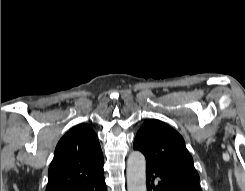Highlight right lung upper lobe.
Segmentation results:
<instances>
[{
  "mask_svg": "<svg viewBox=\"0 0 245 191\" xmlns=\"http://www.w3.org/2000/svg\"><path fill=\"white\" fill-rule=\"evenodd\" d=\"M103 154L95 132L80 124L58 142L48 170L46 191H68L103 175Z\"/></svg>",
  "mask_w": 245,
  "mask_h": 191,
  "instance_id": "cb5924a9",
  "label": "right lung upper lobe"
}]
</instances>
